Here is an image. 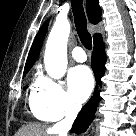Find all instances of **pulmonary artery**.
Masks as SVG:
<instances>
[{"instance_id":"obj_1","label":"pulmonary artery","mask_w":136,"mask_h":136,"mask_svg":"<svg viewBox=\"0 0 136 136\" xmlns=\"http://www.w3.org/2000/svg\"><path fill=\"white\" fill-rule=\"evenodd\" d=\"M72 56L75 60H77L79 62H84L87 59V56L81 47L73 48Z\"/></svg>"}]
</instances>
